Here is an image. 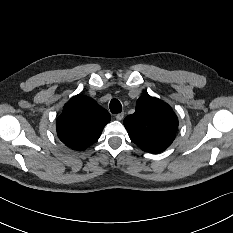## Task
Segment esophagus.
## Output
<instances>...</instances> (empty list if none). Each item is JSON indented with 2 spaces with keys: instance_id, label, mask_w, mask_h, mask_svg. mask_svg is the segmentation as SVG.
Masks as SVG:
<instances>
[{
  "instance_id": "1",
  "label": "esophagus",
  "mask_w": 233,
  "mask_h": 233,
  "mask_svg": "<svg viewBox=\"0 0 233 233\" xmlns=\"http://www.w3.org/2000/svg\"><path fill=\"white\" fill-rule=\"evenodd\" d=\"M124 118V113L122 112V113H118L117 115H116V119L117 120H122Z\"/></svg>"
}]
</instances>
